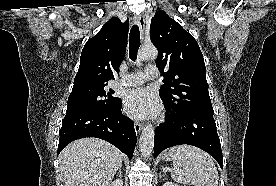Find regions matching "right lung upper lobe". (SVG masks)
<instances>
[{
  "instance_id": "right-lung-upper-lobe-1",
  "label": "right lung upper lobe",
  "mask_w": 276,
  "mask_h": 186,
  "mask_svg": "<svg viewBox=\"0 0 276 186\" xmlns=\"http://www.w3.org/2000/svg\"><path fill=\"white\" fill-rule=\"evenodd\" d=\"M128 24L113 17L103 25L97 35L85 44L78 73L74 78V87L86 85H107L119 71L125 55Z\"/></svg>"
}]
</instances>
